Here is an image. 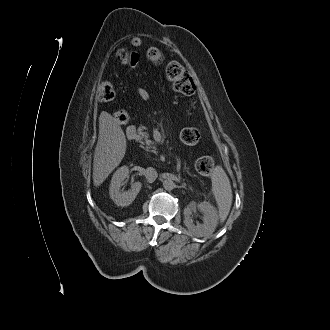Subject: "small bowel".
<instances>
[{
  "instance_id": "c3829d8e",
  "label": "small bowel",
  "mask_w": 330,
  "mask_h": 330,
  "mask_svg": "<svg viewBox=\"0 0 330 330\" xmlns=\"http://www.w3.org/2000/svg\"><path fill=\"white\" fill-rule=\"evenodd\" d=\"M132 44H133V46H136L137 47V46H139L141 44V40L138 37H135L132 40ZM121 61L126 66L127 70L130 71V70H133V69H135L137 67L139 58H138V55L136 54V55L131 56L127 60H121ZM137 95L143 101H148L150 99V93L144 87H139L137 89ZM127 121H128V119L126 121H124V122H120V121H118V122L125 123Z\"/></svg>"
}]
</instances>
